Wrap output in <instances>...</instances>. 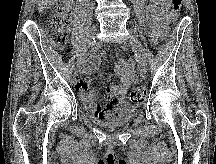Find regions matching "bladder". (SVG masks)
Returning <instances> with one entry per match:
<instances>
[{
    "label": "bladder",
    "instance_id": "1",
    "mask_svg": "<svg viewBox=\"0 0 216 164\" xmlns=\"http://www.w3.org/2000/svg\"><path fill=\"white\" fill-rule=\"evenodd\" d=\"M136 114V109L132 108H127V109H119L118 110V115L110 119L108 121H103V120H95V123L99 126L103 127H118V126H123L127 123H129L132 118Z\"/></svg>",
    "mask_w": 216,
    "mask_h": 164
}]
</instances>
